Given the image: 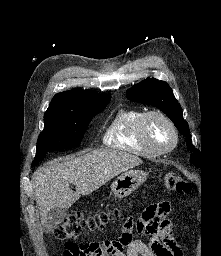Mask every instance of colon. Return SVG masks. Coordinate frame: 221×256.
Here are the masks:
<instances>
[{
	"mask_svg": "<svg viewBox=\"0 0 221 256\" xmlns=\"http://www.w3.org/2000/svg\"><path fill=\"white\" fill-rule=\"evenodd\" d=\"M164 186L171 192L188 194L192 187L188 181L175 173H167L164 176ZM120 211L115 209L109 212H100L93 215H85L82 212L69 214L63 223L55 229V236L60 240L67 241V252L76 253L78 246L72 241L79 237L84 230H95L103 227L110 220L119 216Z\"/></svg>",
	"mask_w": 221,
	"mask_h": 256,
	"instance_id": "obj_1",
	"label": "colon"
}]
</instances>
